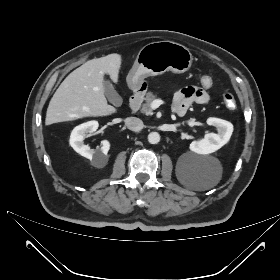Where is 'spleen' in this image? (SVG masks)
<instances>
[{
	"label": "spleen",
	"mask_w": 280,
	"mask_h": 280,
	"mask_svg": "<svg viewBox=\"0 0 280 280\" xmlns=\"http://www.w3.org/2000/svg\"><path fill=\"white\" fill-rule=\"evenodd\" d=\"M217 183H218V180H217V181L208 182V183L204 186V188H205V189L212 188V187H214Z\"/></svg>",
	"instance_id": "3e777b00"
}]
</instances>
